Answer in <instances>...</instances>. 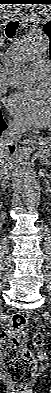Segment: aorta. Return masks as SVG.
Masks as SVG:
<instances>
[{
  "mask_svg": "<svg viewBox=\"0 0 51 393\" xmlns=\"http://www.w3.org/2000/svg\"><path fill=\"white\" fill-rule=\"evenodd\" d=\"M48 52L49 39L43 31L22 35L11 51L13 60L20 63L41 58ZM34 144L33 140H25L16 147L12 158L21 198L30 208H36L40 204L39 187L30 163Z\"/></svg>",
  "mask_w": 51,
  "mask_h": 393,
  "instance_id": "obj_1",
  "label": "aorta"
}]
</instances>
